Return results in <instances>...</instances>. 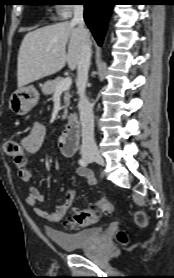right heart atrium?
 <instances>
[{
	"instance_id": "right-heart-atrium-1",
	"label": "right heart atrium",
	"mask_w": 174,
	"mask_h": 278,
	"mask_svg": "<svg viewBox=\"0 0 174 278\" xmlns=\"http://www.w3.org/2000/svg\"><path fill=\"white\" fill-rule=\"evenodd\" d=\"M75 8H76V5H73V4L57 5L55 8L56 16L59 19H66L72 14V12Z\"/></svg>"
}]
</instances>
